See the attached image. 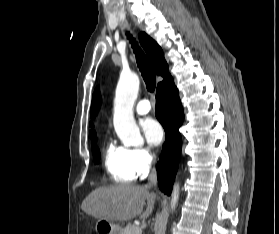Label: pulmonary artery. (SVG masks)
<instances>
[{"label":"pulmonary artery","instance_id":"obj_1","mask_svg":"<svg viewBox=\"0 0 279 234\" xmlns=\"http://www.w3.org/2000/svg\"><path fill=\"white\" fill-rule=\"evenodd\" d=\"M150 110H151V104L147 99L140 100L135 107V111L139 115H145L149 113Z\"/></svg>","mask_w":279,"mask_h":234}]
</instances>
